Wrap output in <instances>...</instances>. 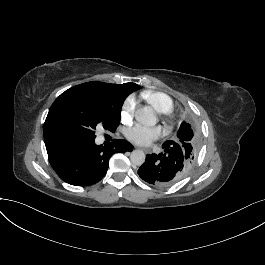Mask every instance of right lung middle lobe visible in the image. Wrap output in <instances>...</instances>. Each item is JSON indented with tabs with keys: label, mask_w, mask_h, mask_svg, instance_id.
<instances>
[{
	"label": "right lung middle lobe",
	"mask_w": 265,
	"mask_h": 265,
	"mask_svg": "<svg viewBox=\"0 0 265 265\" xmlns=\"http://www.w3.org/2000/svg\"><path fill=\"white\" fill-rule=\"evenodd\" d=\"M117 84L88 82L62 93L52 104L44 124V140L57 146L95 139L98 124L113 131L130 94Z\"/></svg>",
	"instance_id": "1"
}]
</instances>
